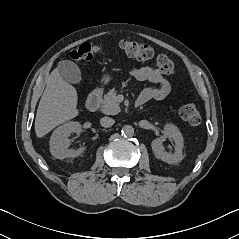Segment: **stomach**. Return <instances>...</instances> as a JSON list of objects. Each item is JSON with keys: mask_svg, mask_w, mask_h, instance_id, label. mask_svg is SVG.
<instances>
[{"mask_svg": "<svg viewBox=\"0 0 239 239\" xmlns=\"http://www.w3.org/2000/svg\"><path fill=\"white\" fill-rule=\"evenodd\" d=\"M103 81H104L105 83H108V82L110 81V77H109V76H105L104 79H103Z\"/></svg>", "mask_w": 239, "mask_h": 239, "instance_id": "0dacf381", "label": "stomach"}]
</instances>
